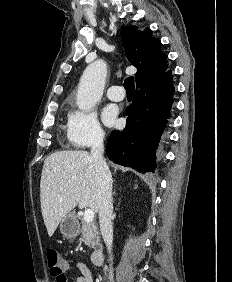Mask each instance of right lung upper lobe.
<instances>
[{"label":"right lung upper lobe","instance_id":"right-lung-upper-lobe-1","mask_svg":"<svg viewBox=\"0 0 232 282\" xmlns=\"http://www.w3.org/2000/svg\"><path fill=\"white\" fill-rule=\"evenodd\" d=\"M151 30H138L136 26H123L122 41L129 62L137 68L136 83L167 71V56L161 51V43L152 37Z\"/></svg>","mask_w":232,"mask_h":282}]
</instances>
